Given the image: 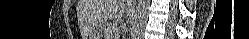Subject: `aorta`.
<instances>
[{"mask_svg": "<svg viewBox=\"0 0 249 39\" xmlns=\"http://www.w3.org/2000/svg\"><path fill=\"white\" fill-rule=\"evenodd\" d=\"M149 5L150 0H138L135 26L132 32L133 39H141L143 35L144 27L147 21Z\"/></svg>", "mask_w": 249, "mask_h": 39, "instance_id": "762f6f07", "label": "aorta"}]
</instances>
